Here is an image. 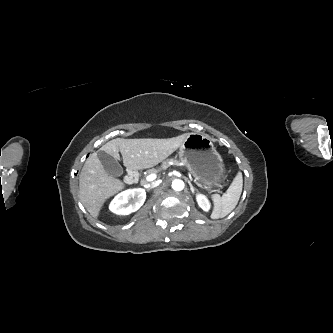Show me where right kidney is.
Returning <instances> with one entry per match:
<instances>
[{
    "label": "right kidney",
    "instance_id": "right-kidney-1",
    "mask_svg": "<svg viewBox=\"0 0 333 333\" xmlns=\"http://www.w3.org/2000/svg\"><path fill=\"white\" fill-rule=\"evenodd\" d=\"M146 192L142 188L128 189L119 193L110 203V210L117 215H128L137 211L145 202ZM132 200V203L128 204Z\"/></svg>",
    "mask_w": 333,
    "mask_h": 333
}]
</instances>
